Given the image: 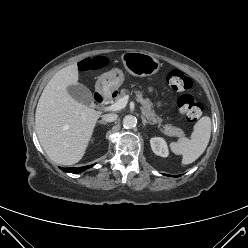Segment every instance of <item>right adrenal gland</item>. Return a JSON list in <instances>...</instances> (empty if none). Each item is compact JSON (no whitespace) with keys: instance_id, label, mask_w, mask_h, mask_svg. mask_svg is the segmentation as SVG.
<instances>
[{"instance_id":"2a0ac1e0","label":"right adrenal gland","mask_w":248,"mask_h":248,"mask_svg":"<svg viewBox=\"0 0 248 248\" xmlns=\"http://www.w3.org/2000/svg\"><path fill=\"white\" fill-rule=\"evenodd\" d=\"M98 124H103V125H107V122L101 120V121H98Z\"/></svg>"}]
</instances>
